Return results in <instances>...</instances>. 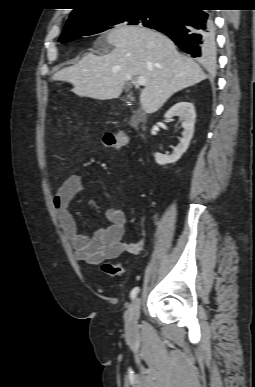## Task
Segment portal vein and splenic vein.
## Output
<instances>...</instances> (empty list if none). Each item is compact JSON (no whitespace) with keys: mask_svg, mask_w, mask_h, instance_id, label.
<instances>
[{"mask_svg":"<svg viewBox=\"0 0 255 387\" xmlns=\"http://www.w3.org/2000/svg\"><path fill=\"white\" fill-rule=\"evenodd\" d=\"M127 79L131 80L132 78L128 76ZM136 82L138 85H142V86L146 85V79L144 77H138Z\"/></svg>","mask_w":255,"mask_h":387,"instance_id":"portal-vein-and-splenic-vein-1","label":"portal vein and splenic vein"}]
</instances>
